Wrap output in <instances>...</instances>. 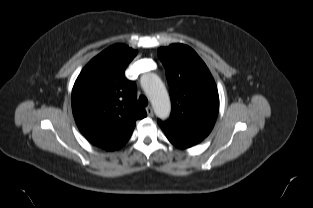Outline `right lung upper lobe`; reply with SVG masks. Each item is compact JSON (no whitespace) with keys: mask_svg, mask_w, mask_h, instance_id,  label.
Returning a JSON list of instances; mask_svg holds the SVG:
<instances>
[{"mask_svg":"<svg viewBox=\"0 0 313 208\" xmlns=\"http://www.w3.org/2000/svg\"><path fill=\"white\" fill-rule=\"evenodd\" d=\"M137 51L115 44L94 57L81 71L72 90L75 122L93 145L108 150L121 148L135 122L147 116L139 106L136 85L124 72Z\"/></svg>","mask_w":313,"mask_h":208,"instance_id":"right-lung-upper-lobe-1","label":"right lung upper lobe"}]
</instances>
